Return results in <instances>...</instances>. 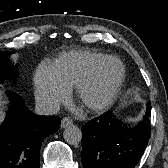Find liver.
<instances>
[{
  "mask_svg": "<svg viewBox=\"0 0 168 168\" xmlns=\"http://www.w3.org/2000/svg\"><path fill=\"white\" fill-rule=\"evenodd\" d=\"M4 104H5V101L2 100V97H1V90H0V123L3 121L4 119Z\"/></svg>",
  "mask_w": 168,
  "mask_h": 168,
  "instance_id": "6515ba94",
  "label": "liver"
}]
</instances>
